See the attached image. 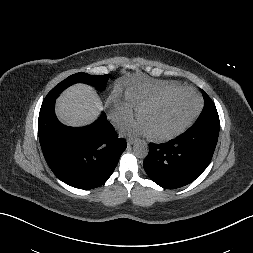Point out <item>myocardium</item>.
Returning <instances> with one entry per match:
<instances>
[{"instance_id":"1","label":"myocardium","mask_w":253,"mask_h":253,"mask_svg":"<svg viewBox=\"0 0 253 253\" xmlns=\"http://www.w3.org/2000/svg\"><path fill=\"white\" fill-rule=\"evenodd\" d=\"M183 92H189V93H192L195 95V97L197 99V104H196L194 111L180 126H178L176 129H174L173 131H171L167 134L156 135V134L149 133L148 136L151 140H153L155 142H166V141L176 138L177 136L182 134L185 130H187L194 123V121L196 120V118L198 117V115L200 113V110L202 107V99H201L200 95L193 88L182 86V87H178V88L142 105L137 110V117L140 120L142 114L145 113L146 111L164 104L165 102H167L168 100H170L171 98L176 96L177 94H180Z\"/></svg>"}]
</instances>
